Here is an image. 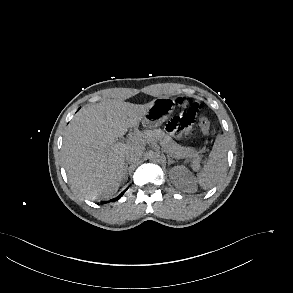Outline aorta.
<instances>
[{"label":"aorta","instance_id":"762f6f07","mask_svg":"<svg viewBox=\"0 0 293 293\" xmlns=\"http://www.w3.org/2000/svg\"><path fill=\"white\" fill-rule=\"evenodd\" d=\"M149 159L153 163H160V162L163 161L164 156L161 153H159V152H152L149 155Z\"/></svg>","mask_w":293,"mask_h":293}]
</instances>
